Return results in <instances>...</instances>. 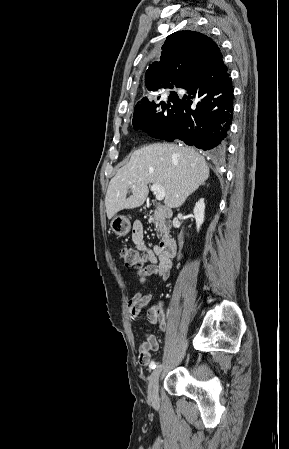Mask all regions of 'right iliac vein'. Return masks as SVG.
I'll list each match as a JSON object with an SVG mask.
<instances>
[{"label":"right iliac vein","mask_w":289,"mask_h":449,"mask_svg":"<svg viewBox=\"0 0 289 449\" xmlns=\"http://www.w3.org/2000/svg\"><path fill=\"white\" fill-rule=\"evenodd\" d=\"M163 370L162 365H158L156 369L153 370L150 376L149 386H148V397L152 402H156L158 400V387H159V378L161 372Z\"/></svg>","instance_id":"1"}]
</instances>
